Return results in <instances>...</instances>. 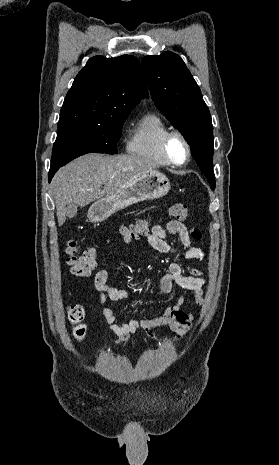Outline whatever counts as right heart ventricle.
<instances>
[{
    "mask_svg": "<svg viewBox=\"0 0 279 465\" xmlns=\"http://www.w3.org/2000/svg\"><path fill=\"white\" fill-rule=\"evenodd\" d=\"M169 130L170 126L162 116L154 112L146 113L134 126L126 150L132 155L167 166L169 163L162 154L161 141Z\"/></svg>",
    "mask_w": 279,
    "mask_h": 465,
    "instance_id": "obj_1",
    "label": "right heart ventricle"
}]
</instances>
